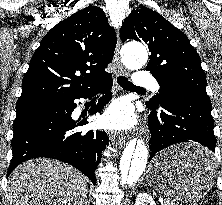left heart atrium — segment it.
Segmentation results:
<instances>
[{
    "instance_id": "left-heart-atrium-1",
    "label": "left heart atrium",
    "mask_w": 222,
    "mask_h": 205,
    "mask_svg": "<svg viewBox=\"0 0 222 205\" xmlns=\"http://www.w3.org/2000/svg\"><path fill=\"white\" fill-rule=\"evenodd\" d=\"M102 124L113 130H126L133 127L135 116L131 106L123 101L114 103L103 115Z\"/></svg>"
}]
</instances>
